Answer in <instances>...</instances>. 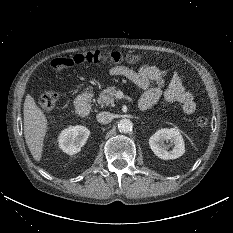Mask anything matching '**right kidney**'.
I'll return each instance as SVG.
<instances>
[{"label": "right kidney", "mask_w": 233, "mask_h": 233, "mask_svg": "<svg viewBox=\"0 0 233 233\" xmlns=\"http://www.w3.org/2000/svg\"><path fill=\"white\" fill-rule=\"evenodd\" d=\"M89 135L90 131L84 126H70L60 133L59 147L69 155L76 154L85 145Z\"/></svg>", "instance_id": "obj_1"}]
</instances>
